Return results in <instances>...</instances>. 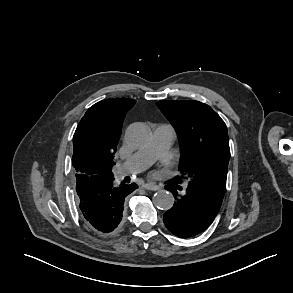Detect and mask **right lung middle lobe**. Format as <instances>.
<instances>
[{"instance_id":"obj_1","label":"right lung middle lobe","mask_w":293,"mask_h":293,"mask_svg":"<svg viewBox=\"0 0 293 293\" xmlns=\"http://www.w3.org/2000/svg\"><path fill=\"white\" fill-rule=\"evenodd\" d=\"M110 174V171H108L106 168L98 170L97 173L93 175H98V176H107Z\"/></svg>"}]
</instances>
